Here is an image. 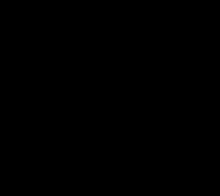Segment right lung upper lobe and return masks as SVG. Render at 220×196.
I'll use <instances>...</instances> for the list:
<instances>
[{
	"label": "right lung upper lobe",
	"mask_w": 220,
	"mask_h": 196,
	"mask_svg": "<svg viewBox=\"0 0 220 196\" xmlns=\"http://www.w3.org/2000/svg\"><path fill=\"white\" fill-rule=\"evenodd\" d=\"M91 58L90 56H87ZM77 90L71 84H65L57 92V105L55 108L56 115L63 119L73 129L79 130V106Z\"/></svg>",
	"instance_id": "obj_1"
}]
</instances>
